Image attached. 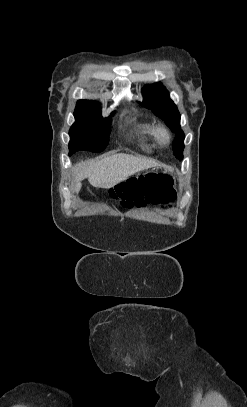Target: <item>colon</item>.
Here are the masks:
<instances>
[{
    "instance_id": "colon-1",
    "label": "colon",
    "mask_w": 247,
    "mask_h": 407,
    "mask_svg": "<svg viewBox=\"0 0 247 407\" xmlns=\"http://www.w3.org/2000/svg\"><path fill=\"white\" fill-rule=\"evenodd\" d=\"M112 198L126 208H141L147 204L169 203L175 200L174 179L168 174H149L132 178L109 191Z\"/></svg>"
}]
</instances>
